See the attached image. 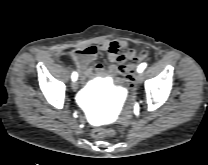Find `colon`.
<instances>
[{"mask_svg": "<svg viewBox=\"0 0 208 165\" xmlns=\"http://www.w3.org/2000/svg\"><path fill=\"white\" fill-rule=\"evenodd\" d=\"M147 52L142 51L140 53V57H146ZM141 64L140 58H133L132 61H130L125 66H122L120 68V72L124 75L123 85L128 87L130 90H135L137 88V79L133 74V67L139 66ZM115 135V130L111 128H95L92 131V137L95 139H102L105 137H112Z\"/></svg>", "mask_w": 208, "mask_h": 165, "instance_id": "5ec220e1", "label": "colon"}]
</instances>
